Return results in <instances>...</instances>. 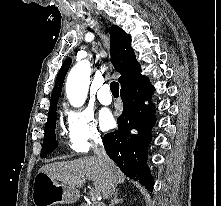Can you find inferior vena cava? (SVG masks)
I'll use <instances>...</instances> for the list:
<instances>
[{
	"label": "inferior vena cava",
	"instance_id": "inferior-vena-cava-1",
	"mask_svg": "<svg viewBox=\"0 0 221 206\" xmlns=\"http://www.w3.org/2000/svg\"><path fill=\"white\" fill-rule=\"evenodd\" d=\"M93 151L94 153L97 155V158L99 159L100 163L105 166V167H109L110 164V159L108 158L103 143L101 141V139H95L94 140V144H93ZM115 182L110 179L109 184H108V188H107V197L106 198H110L112 197V195L115 192Z\"/></svg>",
	"mask_w": 221,
	"mask_h": 206
}]
</instances>
